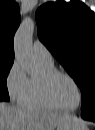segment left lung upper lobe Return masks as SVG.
<instances>
[{
  "label": "left lung upper lobe",
  "mask_w": 95,
  "mask_h": 130,
  "mask_svg": "<svg viewBox=\"0 0 95 130\" xmlns=\"http://www.w3.org/2000/svg\"><path fill=\"white\" fill-rule=\"evenodd\" d=\"M38 36L75 80L82 109L95 106V14L80 1L50 2L36 12Z\"/></svg>",
  "instance_id": "5c2ea615"
}]
</instances>
